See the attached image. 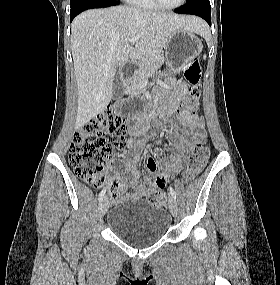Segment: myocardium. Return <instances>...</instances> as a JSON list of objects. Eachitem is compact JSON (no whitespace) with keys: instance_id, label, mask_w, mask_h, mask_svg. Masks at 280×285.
Wrapping results in <instances>:
<instances>
[{"instance_id":"myocardium-1","label":"myocardium","mask_w":280,"mask_h":285,"mask_svg":"<svg viewBox=\"0 0 280 285\" xmlns=\"http://www.w3.org/2000/svg\"><path fill=\"white\" fill-rule=\"evenodd\" d=\"M152 1L155 3V5L158 8H161L163 10H176V9L182 7L185 4V2H186V0H180L179 3H177V4L173 5V6H167V5L163 4L161 2V0H152Z\"/></svg>"}]
</instances>
